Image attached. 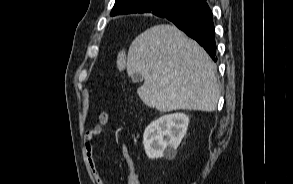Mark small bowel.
Masks as SVG:
<instances>
[{"label": "small bowel", "instance_id": "1", "mask_svg": "<svg viewBox=\"0 0 293 184\" xmlns=\"http://www.w3.org/2000/svg\"><path fill=\"white\" fill-rule=\"evenodd\" d=\"M109 114L107 112H101L98 116V122L89 129L84 136L85 140V151L88 161V165L93 176L94 181L97 184H107L100 174L97 162L94 158V139L100 135L104 127L109 123ZM123 157L125 159L128 168V177L126 184H140L138 174L136 172L135 164L133 158L129 151L125 148L123 149Z\"/></svg>", "mask_w": 293, "mask_h": 184}]
</instances>
